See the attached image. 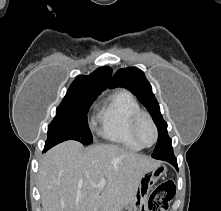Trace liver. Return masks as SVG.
<instances>
[{"instance_id":"6515ba94","label":"liver","mask_w":221,"mask_h":211,"mask_svg":"<svg viewBox=\"0 0 221 211\" xmlns=\"http://www.w3.org/2000/svg\"><path fill=\"white\" fill-rule=\"evenodd\" d=\"M157 164L116 145L63 142L39 163L43 211H116L131 202L141 174ZM102 178L106 184L99 189Z\"/></svg>"}]
</instances>
